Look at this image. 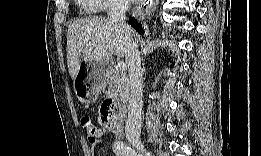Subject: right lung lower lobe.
Masks as SVG:
<instances>
[{"label":"right lung lower lobe","instance_id":"obj_1","mask_svg":"<svg viewBox=\"0 0 261 156\" xmlns=\"http://www.w3.org/2000/svg\"><path fill=\"white\" fill-rule=\"evenodd\" d=\"M129 23L139 34H144L142 25L135 18H130Z\"/></svg>","mask_w":261,"mask_h":156}]
</instances>
